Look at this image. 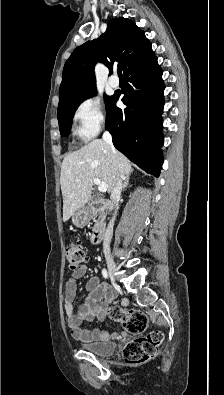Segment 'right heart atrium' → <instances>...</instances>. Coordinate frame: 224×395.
I'll return each instance as SVG.
<instances>
[{"label": "right heart atrium", "mask_w": 224, "mask_h": 395, "mask_svg": "<svg viewBox=\"0 0 224 395\" xmlns=\"http://www.w3.org/2000/svg\"><path fill=\"white\" fill-rule=\"evenodd\" d=\"M75 134L83 139L94 138L106 125V114L102 102L97 98H86L78 103L73 113Z\"/></svg>", "instance_id": "obj_1"}]
</instances>
